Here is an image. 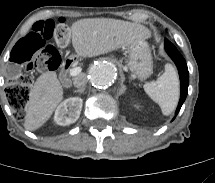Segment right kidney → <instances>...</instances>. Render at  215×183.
<instances>
[{
	"label": "right kidney",
	"instance_id": "1",
	"mask_svg": "<svg viewBox=\"0 0 215 183\" xmlns=\"http://www.w3.org/2000/svg\"><path fill=\"white\" fill-rule=\"evenodd\" d=\"M82 105L83 100L79 97L64 100L55 111V122L61 126L75 123L80 116Z\"/></svg>",
	"mask_w": 215,
	"mask_h": 183
}]
</instances>
